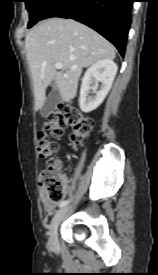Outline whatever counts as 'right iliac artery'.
<instances>
[{"label": "right iliac artery", "mask_w": 158, "mask_h": 275, "mask_svg": "<svg viewBox=\"0 0 158 275\" xmlns=\"http://www.w3.org/2000/svg\"><path fill=\"white\" fill-rule=\"evenodd\" d=\"M68 203H69L68 200L62 201V202L59 204V207L62 208V207H64V206H66Z\"/></svg>", "instance_id": "1"}]
</instances>
